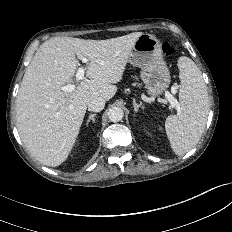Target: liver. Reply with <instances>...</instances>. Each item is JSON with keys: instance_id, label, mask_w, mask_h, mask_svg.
Returning a JSON list of instances; mask_svg holds the SVG:
<instances>
[{"instance_id": "liver-1", "label": "liver", "mask_w": 232, "mask_h": 232, "mask_svg": "<svg viewBox=\"0 0 232 232\" xmlns=\"http://www.w3.org/2000/svg\"><path fill=\"white\" fill-rule=\"evenodd\" d=\"M142 32L106 40L55 37L42 43L23 76L16 100L20 137L40 163L56 167L69 156L87 106L93 98L110 100L117 91L137 39ZM86 58V77L72 84L78 61Z\"/></svg>"}]
</instances>
